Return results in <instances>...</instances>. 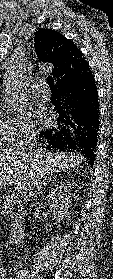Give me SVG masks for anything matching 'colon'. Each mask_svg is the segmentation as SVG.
Instances as JSON below:
<instances>
[{
  "label": "colon",
  "mask_w": 113,
  "mask_h": 279,
  "mask_svg": "<svg viewBox=\"0 0 113 279\" xmlns=\"http://www.w3.org/2000/svg\"><path fill=\"white\" fill-rule=\"evenodd\" d=\"M0 275H1V266H0Z\"/></svg>",
  "instance_id": "obj_1"
}]
</instances>
